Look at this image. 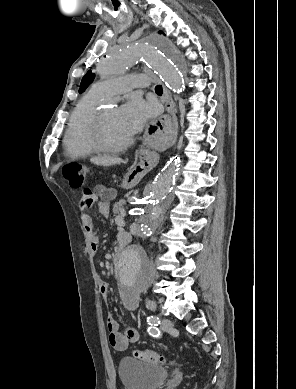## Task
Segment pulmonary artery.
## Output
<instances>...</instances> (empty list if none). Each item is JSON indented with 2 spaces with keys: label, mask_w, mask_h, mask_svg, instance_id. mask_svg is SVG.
<instances>
[{
  "label": "pulmonary artery",
  "mask_w": 296,
  "mask_h": 389,
  "mask_svg": "<svg viewBox=\"0 0 296 389\" xmlns=\"http://www.w3.org/2000/svg\"><path fill=\"white\" fill-rule=\"evenodd\" d=\"M147 84L148 78L144 75H128L96 82L90 91L100 97H108L126 93L134 88L145 87Z\"/></svg>",
  "instance_id": "e3ab8cb5"
}]
</instances>
